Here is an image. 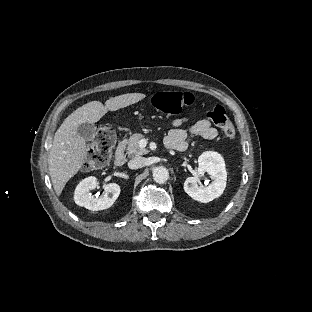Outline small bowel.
Masks as SVG:
<instances>
[{
  "mask_svg": "<svg viewBox=\"0 0 312 312\" xmlns=\"http://www.w3.org/2000/svg\"><path fill=\"white\" fill-rule=\"evenodd\" d=\"M188 116L177 117L171 122V129L165 139L166 145L176 151H185L188 147L187 137L189 134L201 136L205 139H214L217 130L207 119H199L193 123ZM191 123L188 130L183 129L184 125Z\"/></svg>",
  "mask_w": 312,
  "mask_h": 312,
  "instance_id": "1",
  "label": "small bowel"
}]
</instances>
